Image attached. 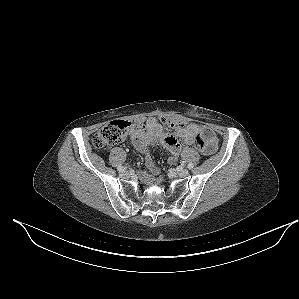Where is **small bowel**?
Returning a JSON list of instances; mask_svg holds the SVG:
<instances>
[{
	"instance_id": "obj_1",
	"label": "small bowel",
	"mask_w": 299,
	"mask_h": 299,
	"mask_svg": "<svg viewBox=\"0 0 299 299\" xmlns=\"http://www.w3.org/2000/svg\"><path fill=\"white\" fill-rule=\"evenodd\" d=\"M197 135H202L210 149L208 153L213 152L218 144V138L208 127L200 126L197 123H188L176 128L173 133H166L162 127V121L158 118H148L143 128L135 129L131 133V142L133 146L144 155L147 168L157 172V166L154 160L147 154L149 145L161 144L170 152L169 161L176 162L182 146H190L195 142Z\"/></svg>"
}]
</instances>
